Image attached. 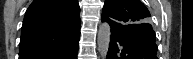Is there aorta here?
Listing matches in <instances>:
<instances>
[{
	"label": "aorta",
	"mask_w": 193,
	"mask_h": 59,
	"mask_svg": "<svg viewBox=\"0 0 193 59\" xmlns=\"http://www.w3.org/2000/svg\"><path fill=\"white\" fill-rule=\"evenodd\" d=\"M111 29L109 24L101 23L97 34V50L102 59L106 58L109 51Z\"/></svg>",
	"instance_id": "762f6f07"
}]
</instances>
